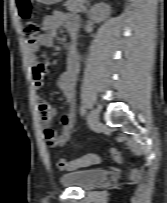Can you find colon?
Instances as JSON below:
<instances>
[{"instance_id": "obj_1", "label": "colon", "mask_w": 167, "mask_h": 203, "mask_svg": "<svg viewBox=\"0 0 167 203\" xmlns=\"http://www.w3.org/2000/svg\"><path fill=\"white\" fill-rule=\"evenodd\" d=\"M17 9L19 15L25 20L24 34L28 39L35 38L39 35L41 27L33 19V6L30 0H17ZM104 157H110L115 162H121V153L116 149H110L104 155L87 154L74 160L58 159L57 167L61 171L76 169L83 166L100 163ZM135 176V173H133Z\"/></svg>"}]
</instances>
